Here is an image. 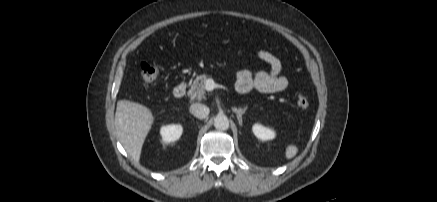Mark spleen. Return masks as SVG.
<instances>
[{
	"mask_svg": "<svg viewBox=\"0 0 437 202\" xmlns=\"http://www.w3.org/2000/svg\"><path fill=\"white\" fill-rule=\"evenodd\" d=\"M297 153H298L297 146L290 144L286 147L285 157H286V159H291V158L295 157Z\"/></svg>",
	"mask_w": 437,
	"mask_h": 202,
	"instance_id": "3e777b00",
	"label": "spleen"
}]
</instances>
